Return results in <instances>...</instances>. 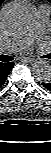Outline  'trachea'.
I'll use <instances>...</instances> for the list:
<instances>
[{
  "label": "trachea",
  "mask_w": 51,
  "mask_h": 153,
  "mask_svg": "<svg viewBox=\"0 0 51 153\" xmlns=\"http://www.w3.org/2000/svg\"><path fill=\"white\" fill-rule=\"evenodd\" d=\"M12 60H13L12 56H9V55H1L0 56V61H2V62H10Z\"/></svg>",
  "instance_id": "3493384b"
}]
</instances>
